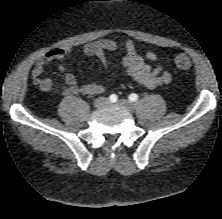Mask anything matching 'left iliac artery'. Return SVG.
<instances>
[{
    "mask_svg": "<svg viewBox=\"0 0 222 219\" xmlns=\"http://www.w3.org/2000/svg\"><path fill=\"white\" fill-rule=\"evenodd\" d=\"M129 100H130L131 102L137 101V100H138V95L135 94V93L130 94V95H129Z\"/></svg>",
    "mask_w": 222,
    "mask_h": 219,
    "instance_id": "44dca946",
    "label": "left iliac artery"
}]
</instances>
